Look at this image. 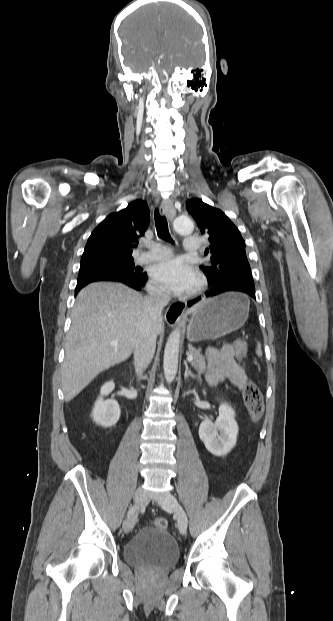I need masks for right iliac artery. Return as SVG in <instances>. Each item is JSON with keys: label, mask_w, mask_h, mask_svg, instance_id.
I'll list each match as a JSON object with an SVG mask.
<instances>
[{"label": "right iliac artery", "mask_w": 333, "mask_h": 621, "mask_svg": "<svg viewBox=\"0 0 333 621\" xmlns=\"http://www.w3.org/2000/svg\"><path fill=\"white\" fill-rule=\"evenodd\" d=\"M135 510H136V506L131 507L128 511V516L132 515L135 512Z\"/></svg>", "instance_id": "1"}]
</instances>
